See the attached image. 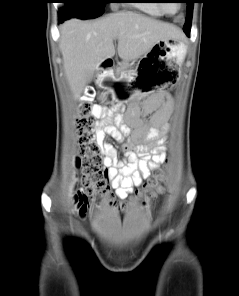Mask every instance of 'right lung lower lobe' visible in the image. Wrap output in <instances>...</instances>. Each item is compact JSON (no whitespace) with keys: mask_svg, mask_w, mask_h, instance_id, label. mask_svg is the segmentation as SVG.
Returning a JSON list of instances; mask_svg holds the SVG:
<instances>
[{"mask_svg":"<svg viewBox=\"0 0 239 296\" xmlns=\"http://www.w3.org/2000/svg\"><path fill=\"white\" fill-rule=\"evenodd\" d=\"M66 18L63 16V15H61V14H59V21L60 22H62L63 20H65Z\"/></svg>","mask_w":239,"mask_h":296,"instance_id":"98d812e1","label":"right lung lower lobe"}]
</instances>
